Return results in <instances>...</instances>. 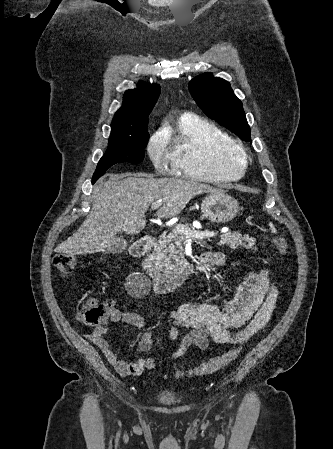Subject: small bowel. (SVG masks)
<instances>
[{"label":"small bowel","instance_id":"small-bowel-1","mask_svg":"<svg viewBox=\"0 0 333 449\" xmlns=\"http://www.w3.org/2000/svg\"><path fill=\"white\" fill-rule=\"evenodd\" d=\"M224 257L220 253H209V263L222 265ZM278 298V291L269 278L267 270L250 271L244 275L236 296L224 306L187 302L169 314V338L177 340L181 335L180 346L171 358L183 356L189 348L201 350L208 348L210 340L221 344H242L261 331L270 320ZM89 298L86 304L95 302ZM113 322H122L141 328L143 319L136 313L114 310ZM106 329L96 327L87 337L105 355L109 363L122 376H136L145 369H154L158 362L152 358H140L127 362L119 358L105 337ZM182 332V333H181ZM153 345L150 333H144L139 341L142 352L148 353Z\"/></svg>","mask_w":333,"mask_h":449}]
</instances>
